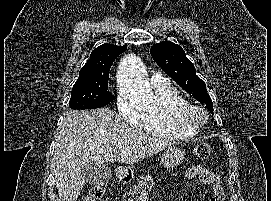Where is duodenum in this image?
<instances>
[{
    "instance_id": "410a0bca",
    "label": "duodenum",
    "mask_w": 271,
    "mask_h": 201,
    "mask_svg": "<svg viewBox=\"0 0 271 201\" xmlns=\"http://www.w3.org/2000/svg\"><path fill=\"white\" fill-rule=\"evenodd\" d=\"M117 178L122 183H124L127 180V176H125L123 172H118Z\"/></svg>"
}]
</instances>
